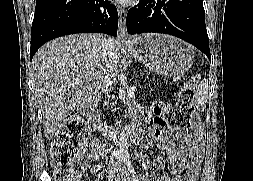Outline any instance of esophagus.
<instances>
[{
    "mask_svg": "<svg viewBox=\"0 0 253 181\" xmlns=\"http://www.w3.org/2000/svg\"><path fill=\"white\" fill-rule=\"evenodd\" d=\"M118 14H119V23H118V38L120 40H127L128 35H127V30H126V10L123 8L118 9Z\"/></svg>",
    "mask_w": 253,
    "mask_h": 181,
    "instance_id": "34e87169",
    "label": "esophagus"
}]
</instances>
